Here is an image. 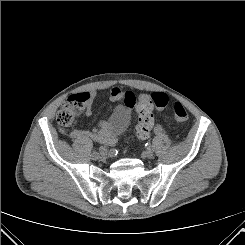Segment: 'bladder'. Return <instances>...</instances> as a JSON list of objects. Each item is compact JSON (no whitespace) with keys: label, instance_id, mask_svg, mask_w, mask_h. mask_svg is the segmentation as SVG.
<instances>
[{"label":"bladder","instance_id":"1","mask_svg":"<svg viewBox=\"0 0 245 245\" xmlns=\"http://www.w3.org/2000/svg\"><path fill=\"white\" fill-rule=\"evenodd\" d=\"M129 119L126 111L116 110L108 122V131L114 136L121 134L127 128Z\"/></svg>","mask_w":245,"mask_h":245}]
</instances>
